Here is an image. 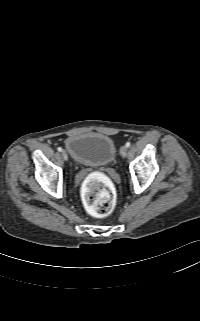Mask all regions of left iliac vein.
I'll return each instance as SVG.
<instances>
[{"instance_id":"left-iliac-vein-1","label":"left iliac vein","mask_w":200,"mask_h":321,"mask_svg":"<svg viewBox=\"0 0 200 321\" xmlns=\"http://www.w3.org/2000/svg\"><path fill=\"white\" fill-rule=\"evenodd\" d=\"M127 151H128L127 147H126V146H122V147L120 148V154H121V156H122V157H125V156L127 155Z\"/></svg>"}]
</instances>
